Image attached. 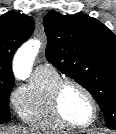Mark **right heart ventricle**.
<instances>
[{
    "label": "right heart ventricle",
    "instance_id": "e07e8e85",
    "mask_svg": "<svg viewBox=\"0 0 116 134\" xmlns=\"http://www.w3.org/2000/svg\"><path fill=\"white\" fill-rule=\"evenodd\" d=\"M62 78L55 69L36 70L30 86L16 103L21 120L40 130L63 131L67 129L56 117L52 107V91Z\"/></svg>",
    "mask_w": 116,
    "mask_h": 134
}]
</instances>
